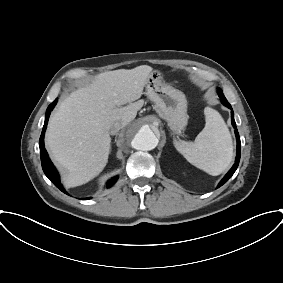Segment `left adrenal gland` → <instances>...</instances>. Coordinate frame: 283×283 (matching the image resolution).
<instances>
[{
  "instance_id": "obj_1",
  "label": "left adrenal gland",
  "mask_w": 283,
  "mask_h": 283,
  "mask_svg": "<svg viewBox=\"0 0 283 283\" xmlns=\"http://www.w3.org/2000/svg\"><path fill=\"white\" fill-rule=\"evenodd\" d=\"M173 140H174V144H175V142H176V138H175V136H174Z\"/></svg>"
}]
</instances>
